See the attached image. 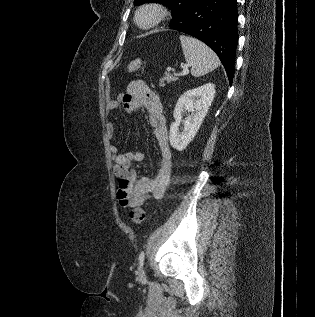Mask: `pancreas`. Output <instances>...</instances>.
<instances>
[{
    "mask_svg": "<svg viewBox=\"0 0 315 317\" xmlns=\"http://www.w3.org/2000/svg\"><path fill=\"white\" fill-rule=\"evenodd\" d=\"M178 78L171 75L170 73H166L165 76L160 80L161 81V86H164L165 85V82L166 83H171V82H174V81H177Z\"/></svg>",
    "mask_w": 315,
    "mask_h": 317,
    "instance_id": "cf45deb5",
    "label": "pancreas"
}]
</instances>
